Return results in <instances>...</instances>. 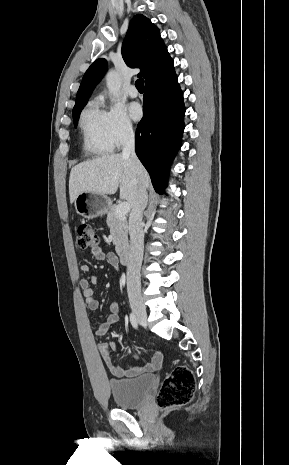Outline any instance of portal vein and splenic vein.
I'll use <instances>...</instances> for the list:
<instances>
[{"mask_svg": "<svg viewBox=\"0 0 289 465\" xmlns=\"http://www.w3.org/2000/svg\"><path fill=\"white\" fill-rule=\"evenodd\" d=\"M130 204L128 202H122L117 206L116 209V216L117 217H125L128 212L130 211Z\"/></svg>", "mask_w": 289, "mask_h": 465, "instance_id": "18ae733b", "label": "portal vein and splenic vein"}]
</instances>
